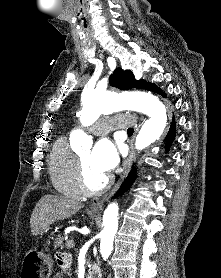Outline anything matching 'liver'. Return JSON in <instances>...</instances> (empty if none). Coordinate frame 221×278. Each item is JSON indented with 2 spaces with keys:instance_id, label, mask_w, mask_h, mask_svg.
<instances>
[{
  "instance_id": "obj_1",
  "label": "liver",
  "mask_w": 221,
  "mask_h": 278,
  "mask_svg": "<svg viewBox=\"0 0 221 278\" xmlns=\"http://www.w3.org/2000/svg\"><path fill=\"white\" fill-rule=\"evenodd\" d=\"M84 205L60 195H44L36 204L30 218L31 233L37 236L56 221L70 218Z\"/></svg>"
}]
</instances>
